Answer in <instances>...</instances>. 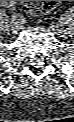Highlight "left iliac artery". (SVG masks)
<instances>
[{"label": "left iliac artery", "mask_w": 74, "mask_h": 122, "mask_svg": "<svg viewBox=\"0 0 74 122\" xmlns=\"http://www.w3.org/2000/svg\"><path fill=\"white\" fill-rule=\"evenodd\" d=\"M60 24H61V25H64V24H67V23H64V24H63V22H62V21H60Z\"/></svg>", "instance_id": "obj_1"}]
</instances>
